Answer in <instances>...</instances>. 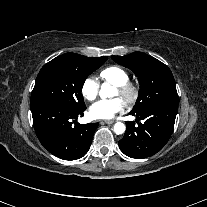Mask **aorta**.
Segmentation results:
<instances>
[{
	"label": "aorta",
	"instance_id": "aorta-1",
	"mask_svg": "<svg viewBox=\"0 0 207 207\" xmlns=\"http://www.w3.org/2000/svg\"><path fill=\"white\" fill-rule=\"evenodd\" d=\"M115 88L108 83H103L99 92L101 98L112 97L115 95ZM114 132L116 134H122L125 132V125L121 122H117L114 124Z\"/></svg>",
	"mask_w": 207,
	"mask_h": 207
}]
</instances>
